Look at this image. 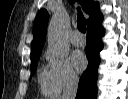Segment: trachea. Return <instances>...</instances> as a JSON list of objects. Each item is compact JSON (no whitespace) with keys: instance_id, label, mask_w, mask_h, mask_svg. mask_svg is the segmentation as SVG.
I'll list each match as a JSON object with an SVG mask.
<instances>
[{"instance_id":"trachea-1","label":"trachea","mask_w":128,"mask_h":99,"mask_svg":"<svg viewBox=\"0 0 128 99\" xmlns=\"http://www.w3.org/2000/svg\"><path fill=\"white\" fill-rule=\"evenodd\" d=\"M79 10V8H78ZM77 27L78 29L82 32L85 33L86 32V20L84 18V16L82 15L81 12L78 13V17H77Z\"/></svg>"}]
</instances>
